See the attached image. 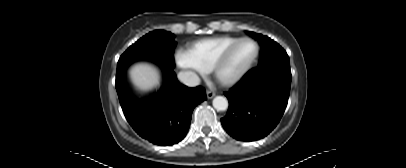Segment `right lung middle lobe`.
Listing matches in <instances>:
<instances>
[{
	"instance_id": "1",
	"label": "right lung middle lobe",
	"mask_w": 406,
	"mask_h": 168,
	"mask_svg": "<svg viewBox=\"0 0 406 168\" xmlns=\"http://www.w3.org/2000/svg\"><path fill=\"white\" fill-rule=\"evenodd\" d=\"M174 39V34L163 30L146 34L122 54L117 63L116 77L124 76L131 65L141 61L153 63L159 68H174Z\"/></svg>"
}]
</instances>
